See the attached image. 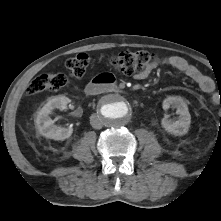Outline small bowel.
Listing matches in <instances>:
<instances>
[{"instance_id":"c3829d8e","label":"small bowel","mask_w":221,"mask_h":221,"mask_svg":"<svg viewBox=\"0 0 221 221\" xmlns=\"http://www.w3.org/2000/svg\"><path fill=\"white\" fill-rule=\"evenodd\" d=\"M160 62L171 66L173 69L183 73L193 80L203 92L210 94V100L214 105L221 104V98L215 92V86L212 79L204 75L197 67L188 63L184 58L179 56H170L163 58ZM158 63L159 62H153L149 64L143 71L137 73L135 78L138 80L146 79Z\"/></svg>"}]
</instances>
